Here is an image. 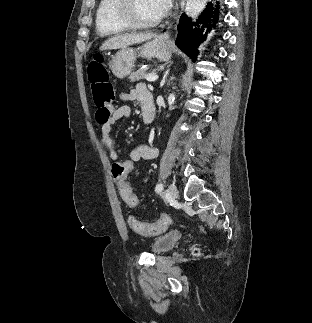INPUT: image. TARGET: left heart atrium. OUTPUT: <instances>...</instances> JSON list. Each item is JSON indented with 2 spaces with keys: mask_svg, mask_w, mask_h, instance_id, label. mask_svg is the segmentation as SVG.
<instances>
[{
  "mask_svg": "<svg viewBox=\"0 0 312 323\" xmlns=\"http://www.w3.org/2000/svg\"><path fill=\"white\" fill-rule=\"evenodd\" d=\"M159 5L154 6L155 12H168L170 8H174L173 0H158Z\"/></svg>",
  "mask_w": 312,
  "mask_h": 323,
  "instance_id": "obj_1",
  "label": "left heart atrium"
}]
</instances>
